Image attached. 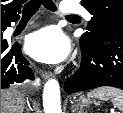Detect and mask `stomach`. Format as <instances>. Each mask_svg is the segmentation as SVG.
<instances>
[{
    "instance_id": "stomach-1",
    "label": "stomach",
    "mask_w": 123,
    "mask_h": 113,
    "mask_svg": "<svg viewBox=\"0 0 123 113\" xmlns=\"http://www.w3.org/2000/svg\"><path fill=\"white\" fill-rule=\"evenodd\" d=\"M80 102L83 106H89L92 103V101L89 98L83 96L80 97Z\"/></svg>"
}]
</instances>
